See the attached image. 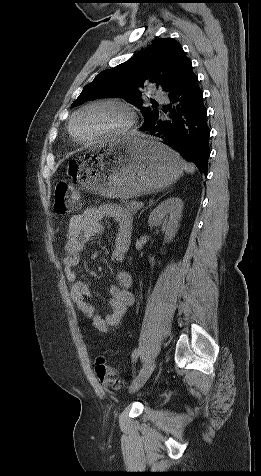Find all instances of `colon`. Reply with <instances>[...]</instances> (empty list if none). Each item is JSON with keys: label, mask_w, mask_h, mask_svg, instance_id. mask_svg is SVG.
I'll use <instances>...</instances> for the list:
<instances>
[{"label": "colon", "mask_w": 261, "mask_h": 476, "mask_svg": "<svg viewBox=\"0 0 261 476\" xmlns=\"http://www.w3.org/2000/svg\"><path fill=\"white\" fill-rule=\"evenodd\" d=\"M79 205V196L73 185L67 181L58 183L54 194V212L58 215H66L76 210ZM95 373L98 380L104 386L117 387L120 384V379L115 369L103 357L96 359Z\"/></svg>", "instance_id": "obj_1"}]
</instances>
